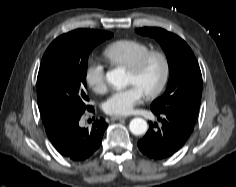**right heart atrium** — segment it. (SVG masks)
I'll return each instance as SVG.
<instances>
[{"mask_svg": "<svg viewBox=\"0 0 236 187\" xmlns=\"http://www.w3.org/2000/svg\"><path fill=\"white\" fill-rule=\"evenodd\" d=\"M84 80L94 92L103 93L107 88V81L102 65L98 62H90L84 72Z\"/></svg>", "mask_w": 236, "mask_h": 187, "instance_id": "d8ad5b80", "label": "right heart atrium"}]
</instances>
